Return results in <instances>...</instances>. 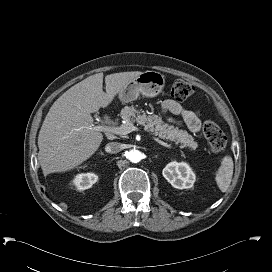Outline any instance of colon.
<instances>
[{"label":"colon","mask_w":272,"mask_h":272,"mask_svg":"<svg viewBox=\"0 0 272 272\" xmlns=\"http://www.w3.org/2000/svg\"><path fill=\"white\" fill-rule=\"evenodd\" d=\"M170 94L177 100H185L192 94V86L186 81L178 80L172 84ZM202 133L212 152L219 154L225 150L227 139L216 123L206 121L203 124Z\"/></svg>","instance_id":"1"}]
</instances>
